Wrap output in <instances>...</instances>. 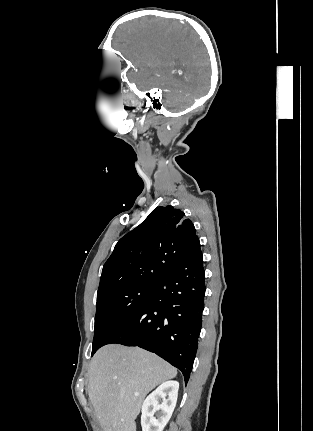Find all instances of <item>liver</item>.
<instances>
[{"label": "liver", "mask_w": 313, "mask_h": 431, "mask_svg": "<svg viewBox=\"0 0 313 431\" xmlns=\"http://www.w3.org/2000/svg\"><path fill=\"white\" fill-rule=\"evenodd\" d=\"M176 375L174 367L139 347L100 348L90 362L88 394L103 431H136L146 395Z\"/></svg>", "instance_id": "6515ba94"}]
</instances>
